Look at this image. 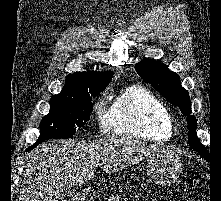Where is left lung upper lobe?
Instances as JSON below:
<instances>
[{
	"label": "left lung upper lobe",
	"instance_id": "5c2ea615",
	"mask_svg": "<svg viewBox=\"0 0 221 201\" xmlns=\"http://www.w3.org/2000/svg\"><path fill=\"white\" fill-rule=\"evenodd\" d=\"M139 76L149 82L158 92H160L170 103L178 106L181 112L187 116L188 142L189 145L204 159L209 160V152L201 144L196 135V118L191 114V102L188 92L180 85L178 75L171 72L166 65L145 58L135 65Z\"/></svg>",
	"mask_w": 221,
	"mask_h": 201
}]
</instances>
